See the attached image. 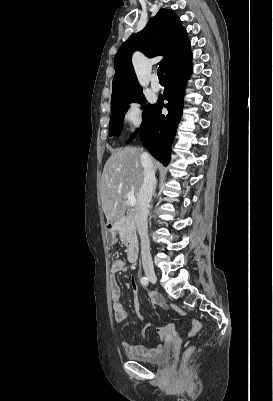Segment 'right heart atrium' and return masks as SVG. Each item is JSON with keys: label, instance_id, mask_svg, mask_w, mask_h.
<instances>
[{"label": "right heart atrium", "instance_id": "d8ad5b80", "mask_svg": "<svg viewBox=\"0 0 273 401\" xmlns=\"http://www.w3.org/2000/svg\"><path fill=\"white\" fill-rule=\"evenodd\" d=\"M124 121L130 130L137 129L142 123V108L136 101H131L124 112Z\"/></svg>", "mask_w": 273, "mask_h": 401}]
</instances>
